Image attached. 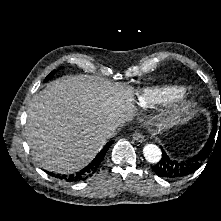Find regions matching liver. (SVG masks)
Segmentation results:
<instances>
[{"label": "liver", "mask_w": 221, "mask_h": 221, "mask_svg": "<svg viewBox=\"0 0 221 221\" xmlns=\"http://www.w3.org/2000/svg\"><path fill=\"white\" fill-rule=\"evenodd\" d=\"M134 112L128 86L90 75L57 80L34 95L26 139L42 168L71 174L102 149L106 129L123 126Z\"/></svg>", "instance_id": "obj_1"}]
</instances>
